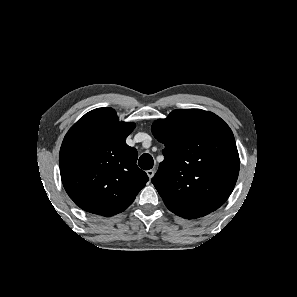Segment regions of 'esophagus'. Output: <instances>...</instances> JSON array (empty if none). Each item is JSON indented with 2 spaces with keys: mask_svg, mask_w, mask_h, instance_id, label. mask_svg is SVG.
I'll return each instance as SVG.
<instances>
[{
  "mask_svg": "<svg viewBox=\"0 0 297 297\" xmlns=\"http://www.w3.org/2000/svg\"><path fill=\"white\" fill-rule=\"evenodd\" d=\"M155 171L153 169L147 170V175L149 179H151L154 176Z\"/></svg>",
  "mask_w": 297,
  "mask_h": 297,
  "instance_id": "obj_1",
  "label": "esophagus"
}]
</instances>
